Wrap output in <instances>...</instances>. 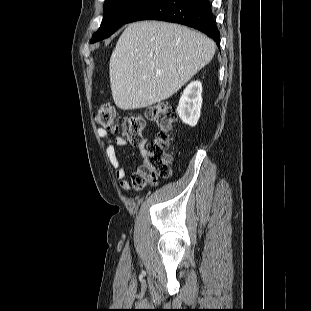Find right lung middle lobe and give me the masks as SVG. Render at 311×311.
<instances>
[{
  "label": "right lung middle lobe",
  "mask_w": 311,
  "mask_h": 311,
  "mask_svg": "<svg viewBox=\"0 0 311 311\" xmlns=\"http://www.w3.org/2000/svg\"><path fill=\"white\" fill-rule=\"evenodd\" d=\"M154 0H105L104 17L91 43L109 37L140 9Z\"/></svg>",
  "instance_id": "right-lung-middle-lobe-1"
}]
</instances>
